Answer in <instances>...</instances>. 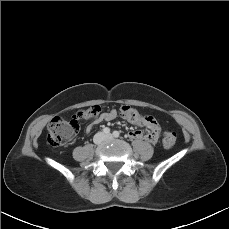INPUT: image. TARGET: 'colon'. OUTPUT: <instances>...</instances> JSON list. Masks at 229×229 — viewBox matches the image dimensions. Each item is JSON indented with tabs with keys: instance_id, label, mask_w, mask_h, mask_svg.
Listing matches in <instances>:
<instances>
[{
	"instance_id": "1",
	"label": "colon",
	"mask_w": 229,
	"mask_h": 229,
	"mask_svg": "<svg viewBox=\"0 0 229 229\" xmlns=\"http://www.w3.org/2000/svg\"><path fill=\"white\" fill-rule=\"evenodd\" d=\"M102 112L100 106H91L85 110L75 113L71 120H66L62 117H54L47 126V142L54 147L63 146L72 137L79 127V120L96 119ZM120 112L123 117L131 123H140L144 120L141 113L130 105H122ZM163 145L166 148H172L177 142L175 132H166L162 139Z\"/></svg>"
}]
</instances>
